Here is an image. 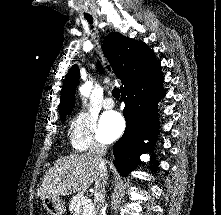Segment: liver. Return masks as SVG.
<instances>
[{"instance_id":"obj_1","label":"liver","mask_w":221,"mask_h":215,"mask_svg":"<svg viewBox=\"0 0 221 215\" xmlns=\"http://www.w3.org/2000/svg\"><path fill=\"white\" fill-rule=\"evenodd\" d=\"M98 174L99 161L89 153L62 157L45 173L40 197L66 196L85 191L96 181Z\"/></svg>"}]
</instances>
